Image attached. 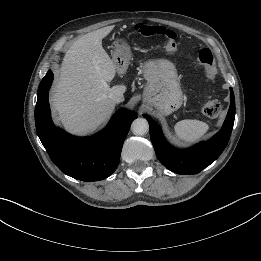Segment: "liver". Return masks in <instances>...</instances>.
Here are the masks:
<instances>
[{
  "mask_svg": "<svg viewBox=\"0 0 261 261\" xmlns=\"http://www.w3.org/2000/svg\"><path fill=\"white\" fill-rule=\"evenodd\" d=\"M106 28L90 32L66 52L52 96V105L63 126L75 134L95 130L113 112L111 93L122 94L125 85L110 87L116 65L102 47Z\"/></svg>",
  "mask_w": 261,
  "mask_h": 261,
  "instance_id": "6515ba94",
  "label": "liver"
}]
</instances>
